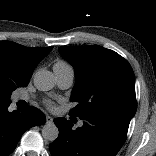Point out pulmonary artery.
Wrapping results in <instances>:
<instances>
[{
	"label": "pulmonary artery",
	"mask_w": 156,
	"mask_h": 156,
	"mask_svg": "<svg viewBox=\"0 0 156 156\" xmlns=\"http://www.w3.org/2000/svg\"><path fill=\"white\" fill-rule=\"evenodd\" d=\"M53 72L56 78L58 86L62 89H67L71 87L74 81V70L68 64H59L56 63L53 66ZM28 98L24 95H19L18 100H27ZM79 126H82V123H79Z\"/></svg>",
	"instance_id": "e3ab8cb5"
}]
</instances>
